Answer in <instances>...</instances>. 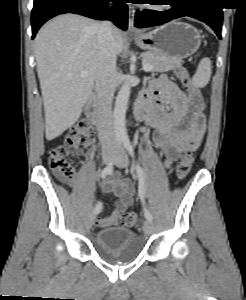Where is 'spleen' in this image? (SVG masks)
<instances>
[{"instance_id": "obj_1", "label": "spleen", "mask_w": 246, "mask_h": 300, "mask_svg": "<svg viewBox=\"0 0 246 300\" xmlns=\"http://www.w3.org/2000/svg\"><path fill=\"white\" fill-rule=\"evenodd\" d=\"M212 65L209 58H203L198 65L197 71L191 79V84L197 88L205 87L211 77Z\"/></svg>"}]
</instances>
